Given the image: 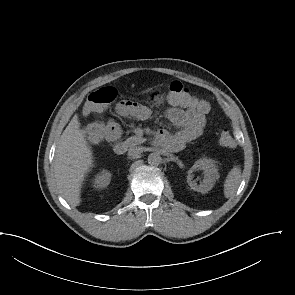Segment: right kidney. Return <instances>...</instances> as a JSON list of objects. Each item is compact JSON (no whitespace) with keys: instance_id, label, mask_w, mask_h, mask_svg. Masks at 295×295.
Wrapping results in <instances>:
<instances>
[{"instance_id":"ca27d5eb","label":"right kidney","mask_w":295,"mask_h":295,"mask_svg":"<svg viewBox=\"0 0 295 295\" xmlns=\"http://www.w3.org/2000/svg\"><path fill=\"white\" fill-rule=\"evenodd\" d=\"M111 180V174L103 170L101 173L97 174V176L94 179V187L97 189H103L107 187Z\"/></svg>"}]
</instances>
